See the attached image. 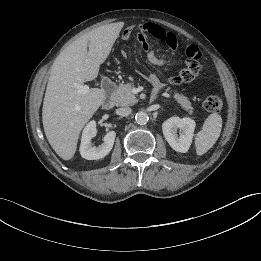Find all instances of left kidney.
<instances>
[{
    "label": "left kidney",
    "instance_id": "1",
    "mask_svg": "<svg viewBox=\"0 0 261 261\" xmlns=\"http://www.w3.org/2000/svg\"><path fill=\"white\" fill-rule=\"evenodd\" d=\"M195 125V121L189 117H171L163 122L162 131L166 141L175 151L186 153L192 143Z\"/></svg>",
    "mask_w": 261,
    "mask_h": 261
}]
</instances>
